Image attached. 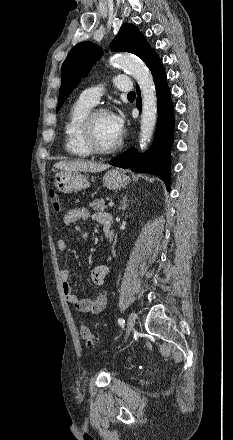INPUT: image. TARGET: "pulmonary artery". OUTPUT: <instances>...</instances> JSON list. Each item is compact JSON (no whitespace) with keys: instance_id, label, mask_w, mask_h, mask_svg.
<instances>
[{"instance_id":"e3ab8cb5","label":"pulmonary artery","mask_w":233,"mask_h":440,"mask_svg":"<svg viewBox=\"0 0 233 440\" xmlns=\"http://www.w3.org/2000/svg\"><path fill=\"white\" fill-rule=\"evenodd\" d=\"M114 82L116 87L123 92H129L132 90V85L127 75L116 76ZM102 92L103 91L99 86H92L80 94L79 100L88 105L95 106L99 102Z\"/></svg>"}]
</instances>
